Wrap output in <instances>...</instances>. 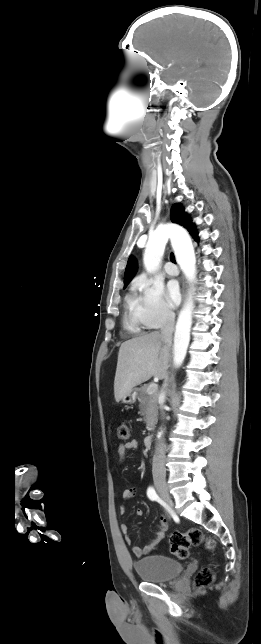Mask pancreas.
I'll use <instances>...</instances> for the list:
<instances>
[{"instance_id":"obj_1","label":"pancreas","mask_w":261,"mask_h":644,"mask_svg":"<svg viewBox=\"0 0 261 644\" xmlns=\"http://www.w3.org/2000/svg\"><path fill=\"white\" fill-rule=\"evenodd\" d=\"M148 385L139 388V408L141 414L144 416L147 430H152L157 422L158 414V392L148 394Z\"/></svg>"}]
</instances>
